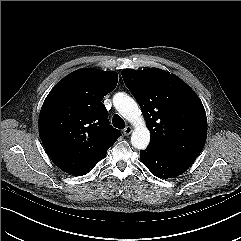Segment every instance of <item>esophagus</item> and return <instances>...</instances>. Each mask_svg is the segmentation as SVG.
<instances>
[{
    "label": "esophagus",
    "mask_w": 241,
    "mask_h": 241,
    "mask_svg": "<svg viewBox=\"0 0 241 241\" xmlns=\"http://www.w3.org/2000/svg\"><path fill=\"white\" fill-rule=\"evenodd\" d=\"M131 132H132V127H130V126H127L126 128L123 129V134H124L125 136L130 135Z\"/></svg>",
    "instance_id": "34e87169"
}]
</instances>
